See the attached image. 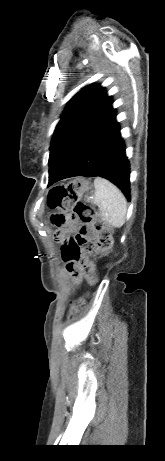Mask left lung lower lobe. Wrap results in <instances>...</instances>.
<instances>
[{
    "instance_id": "obj_1",
    "label": "left lung lower lobe",
    "mask_w": 165,
    "mask_h": 461,
    "mask_svg": "<svg viewBox=\"0 0 165 461\" xmlns=\"http://www.w3.org/2000/svg\"><path fill=\"white\" fill-rule=\"evenodd\" d=\"M130 165L112 105L67 154L48 186L74 176L103 177L114 183L130 200Z\"/></svg>"
}]
</instances>
